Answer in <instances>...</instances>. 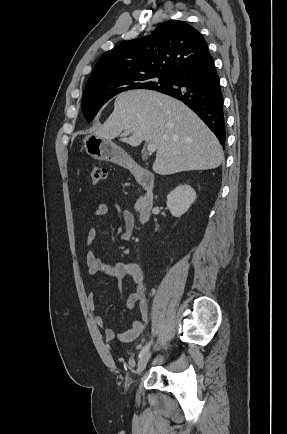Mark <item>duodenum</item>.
Segmentation results:
<instances>
[{"mask_svg": "<svg viewBox=\"0 0 287 434\" xmlns=\"http://www.w3.org/2000/svg\"><path fill=\"white\" fill-rule=\"evenodd\" d=\"M126 164L133 169V174L137 182L145 190V193L137 201V214L139 222L146 224L151 218L154 204V179L147 170L137 166L133 160H126Z\"/></svg>", "mask_w": 287, "mask_h": 434, "instance_id": "duodenum-1", "label": "duodenum"}]
</instances>
